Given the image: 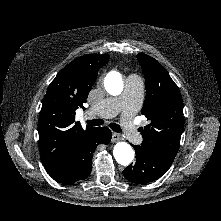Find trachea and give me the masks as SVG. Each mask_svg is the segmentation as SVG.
Listing matches in <instances>:
<instances>
[{"mask_svg": "<svg viewBox=\"0 0 221 221\" xmlns=\"http://www.w3.org/2000/svg\"><path fill=\"white\" fill-rule=\"evenodd\" d=\"M87 124L91 125V126H100V125L104 124V121L102 119H93V120H88ZM109 127L113 131L118 132V133H120L122 131L120 126L118 124H116V123H110Z\"/></svg>", "mask_w": 221, "mask_h": 221, "instance_id": "1", "label": "trachea"}]
</instances>
